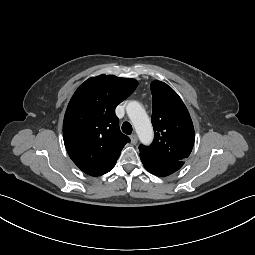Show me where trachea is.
<instances>
[{
  "instance_id": "3493384b",
  "label": "trachea",
  "mask_w": 255,
  "mask_h": 255,
  "mask_svg": "<svg viewBox=\"0 0 255 255\" xmlns=\"http://www.w3.org/2000/svg\"><path fill=\"white\" fill-rule=\"evenodd\" d=\"M122 131L125 134L130 135L132 133V125L129 122H124L122 124Z\"/></svg>"
}]
</instances>
